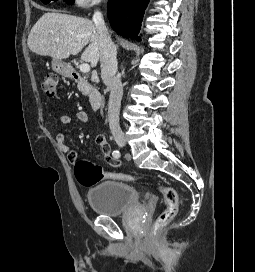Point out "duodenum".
<instances>
[{"instance_id": "1", "label": "duodenum", "mask_w": 255, "mask_h": 272, "mask_svg": "<svg viewBox=\"0 0 255 272\" xmlns=\"http://www.w3.org/2000/svg\"><path fill=\"white\" fill-rule=\"evenodd\" d=\"M70 75H71V78L73 80H75L76 82H78V83L84 82V78L76 70H72L70 72ZM88 100H89V104L93 110L99 109L103 103L102 96L97 91H91L88 94Z\"/></svg>"}]
</instances>
